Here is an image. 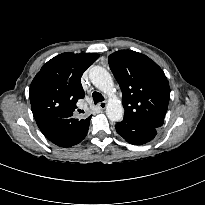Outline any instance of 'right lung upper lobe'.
<instances>
[{
	"mask_svg": "<svg viewBox=\"0 0 205 205\" xmlns=\"http://www.w3.org/2000/svg\"><path fill=\"white\" fill-rule=\"evenodd\" d=\"M99 57L95 53L55 56L34 77L29 91L31 109L37 125L53 119H65L64 135L73 140L88 127L90 117L74 119L77 101L84 98L81 76Z\"/></svg>",
	"mask_w": 205,
	"mask_h": 205,
	"instance_id": "right-lung-upper-lobe-1",
	"label": "right lung upper lobe"
}]
</instances>
